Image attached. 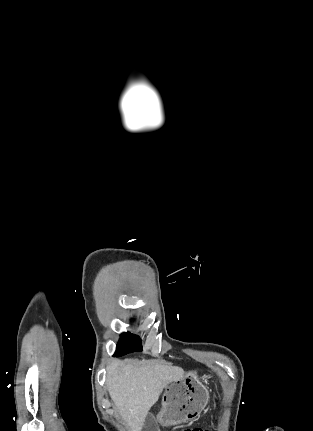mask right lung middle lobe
Here are the masks:
<instances>
[{"mask_svg":"<svg viewBox=\"0 0 313 431\" xmlns=\"http://www.w3.org/2000/svg\"><path fill=\"white\" fill-rule=\"evenodd\" d=\"M141 350L142 342L137 335L131 333H123L121 334V338L117 344L115 356H123L125 354Z\"/></svg>","mask_w":313,"mask_h":431,"instance_id":"obj_1","label":"right lung middle lobe"}]
</instances>
